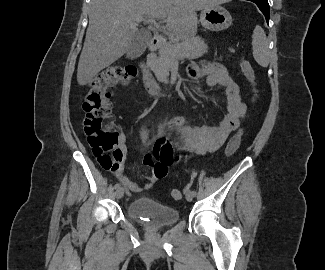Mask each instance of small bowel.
I'll list each match as a JSON object with an SVG mask.
<instances>
[{"label":"small bowel","instance_id":"obj_1","mask_svg":"<svg viewBox=\"0 0 325 270\" xmlns=\"http://www.w3.org/2000/svg\"><path fill=\"white\" fill-rule=\"evenodd\" d=\"M188 74L190 78L195 80L205 76L206 83L210 87L225 88L227 96L226 114L218 124L202 126H191L184 119H174L169 125V130L175 133L174 145L177 150L194 154L212 153L218 150L231 132L241 124L246 115L247 107L243 102L238 85L230 78L221 64L199 62L189 68ZM125 141L126 136L121 131L117 148L121 154L119 166L103 168L113 171L123 186L132 193L151 189L154 183L165 177L168 168L176 159L171 147L162 139L156 142L152 152L144 155L143 163L150 169V173L146 175L147 182L140 187L122 173L127 153Z\"/></svg>","mask_w":325,"mask_h":270}]
</instances>
